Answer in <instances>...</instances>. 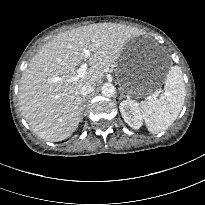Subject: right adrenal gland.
<instances>
[{
	"instance_id": "1",
	"label": "right adrenal gland",
	"mask_w": 205,
	"mask_h": 205,
	"mask_svg": "<svg viewBox=\"0 0 205 205\" xmlns=\"http://www.w3.org/2000/svg\"><path fill=\"white\" fill-rule=\"evenodd\" d=\"M85 102H86V99H84L83 98V105H82V107H81V114L83 115V111H84V109H85Z\"/></svg>"
}]
</instances>
